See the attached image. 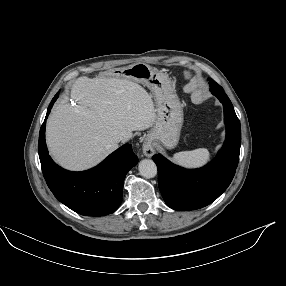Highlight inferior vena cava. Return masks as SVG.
Segmentation results:
<instances>
[{
    "mask_svg": "<svg viewBox=\"0 0 286 286\" xmlns=\"http://www.w3.org/2000/svg\"><path fill=\"white\" fill-rule=\"evenodd\" d=\"M124 141L123 137H120L117 142Z\"/></svg>",
    "mask_w": 286,
    "mask_h": 286,
    "instance_id": "inferior-vena-cava-1",
    "label": "inferior vena cava"
}]
</instances>
